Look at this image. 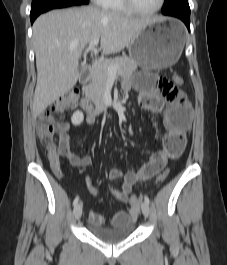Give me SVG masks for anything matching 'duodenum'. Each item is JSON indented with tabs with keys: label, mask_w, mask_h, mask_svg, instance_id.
Returning a JSON list of instances; mask_svg holds the SVG:
<instances>
[{
	"label": "duodenum",
	"mask_w": 227,
	"mask_h": 265,
	"mask_svg": "<svg viewBox=\"0 0 227 265\" xmlns=\"http://www.w3.org/2000/svg\"><path fill=\"white\" fill-rule=\"evenodd\" d=\"M91 72H92V68L90 66L86 67L85 70L83 71L81 77H80V81L84 84L87 83L90 79ZM80 104L87 111V113L89 115L96 116L102 112L101 109H99L93 105V103L91 102V100L87 96H83L81 98Z\"/></svg>",
	"instance_id": "1"
}]
</instances>
